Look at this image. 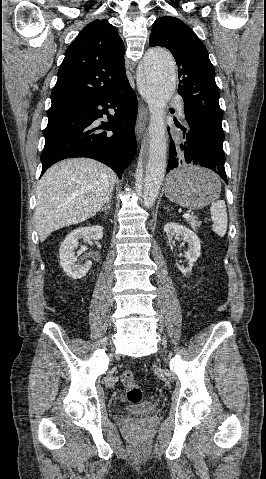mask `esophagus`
Segmentation results:
<instances>
[{
    "label": "esophagus",
    "mask_w": 266,
    "mask_h": 479,
    "mask_svg": "<svg viewBox=\"0 0 266 479\" xmlns=\"http://www.w3.org/2000/svg\"><path fill=\"white\" fill-rule=\"evenodd\" d=\"M147 109L145 108L143 103L139 104L138 108V115H137V121H136V137L137 140L140 141L142 138V135L144 133L146 123H147Z\"/></svg>",
    "instance_id": "1"
}]
</instances>
